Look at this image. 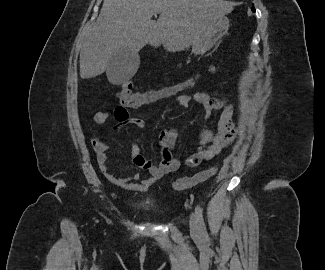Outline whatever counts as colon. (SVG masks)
Instances as JSON below:
<instances>
[{
    "instance_id": "obj_1",
    "label": "colon",
    "mask_w": 325,
    "mask_h": 270,
    "mask_svg": "<svg viewBox=\"0 0 325 270\" xmlns=\"http://www.w3.org/2000/svg\"><path fill=\"white\" fill-rule=\"evenodd\" d=\"M214 71L215 65L211 64L203 71L197 72L181 82L163 86L161 88L146 90L144 92H134L133 84L129 81H126L120 85L118 98L121 104L129 107H143L156 104L184 94L186 90L193 88L204 74L213 73ZM215 173L216 168L212 167L200 171L191 177L180 178L173 183V188L177 191L192 188L197 184L206 181Z\"/></svg>"
}]
</instances>
